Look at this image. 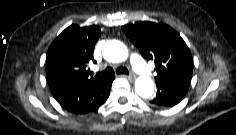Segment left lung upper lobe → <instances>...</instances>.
I'll return each instance as SVG.
<instances>
[{
    "instance_id": "5c2ea615",
    "label": "left lung upper lobe",
    "mask_w": 236,
    "mask_h": 135,
    "mask_svg": "<svg viewBox=\"0 0 236 135\" xmlns=\"http://www.w3.org/2000/svg\"><path fill=\"white\" fill-rule=\"evenodd\" d=\"M122 30L145 59L154 60L156 83L191 79V52L181 36L170 26L144 21L124 25Z\"/></svg>"
}]
</instances>
